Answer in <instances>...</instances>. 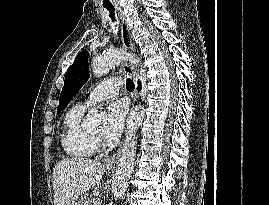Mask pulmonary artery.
Here are the masks:
<instances>
[{"instance_id":"e3ab8cb5","label":"pulmonary artery","mask_w":269,"mask_h":205,"mask_svg":"<svg viewBox=\"0 0 269 205\" xmlns=\"http://www.w3.org/2000/svg\"><path fill=\"white\" fill-rule=\"evenodd\" d=\"M121 78H111L105 80L96 86L89 93L87 99L83 103L80 104L82 107H88L92 104H95L102 100L113 99L117 97L119 86L122 84Z\"/></svg>"}]
</instances>
